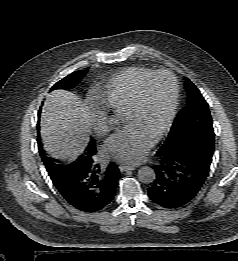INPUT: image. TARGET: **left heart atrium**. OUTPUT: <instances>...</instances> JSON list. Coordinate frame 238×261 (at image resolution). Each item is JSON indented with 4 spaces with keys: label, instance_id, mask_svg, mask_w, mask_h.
<instances>
[{
    "label": "left heart atrium",
    "instance_id": "left-heart-atrium-1",
    "mask_svg": "<svg viewBox=\"0 0 238 261\" xmlns=\"http://www.w3.org/2000/svg\"><path fill=\"white\" fill-rule=\"evenodd\" d=\"M154 137V136H153ZM153 137L135 125H129L106 142L109 156L129 163L140 162L153 144Z\"/></svg>",
    "mask_w": 238,
    "mask_h": 261
}]
</instances>
